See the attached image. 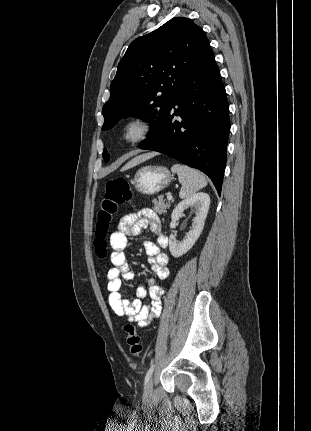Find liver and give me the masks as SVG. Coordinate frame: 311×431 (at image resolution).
<instances>
[{
    "instance_id": "6515ba94",
    "label": "liver",
    "mask_w": 311,
    "mask_h": 431,
    "mask_svg": "<svg viewBox=\"0 0 311 431\" xmlns=\"http://www.w3.org/2000/svg\"><path fill=\"white\" fill-rule=\"evenodd\" d=\"M149 158H152V154H142V156H136V158H133V160H130V162H127L123 170H129V168H134V166H138V164H142V162H146V160H149Z\"/></svg>"
}]
</instances>
